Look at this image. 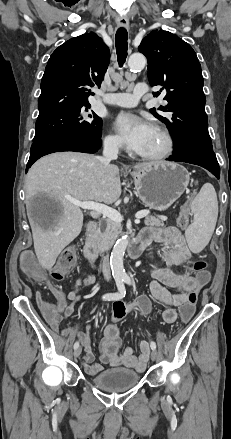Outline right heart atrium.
I'll list each match as a JSON object with an SVG mask.
<instances>
[{
  "label": "right heart atrium",
  "instance_id": "d8ad5b80",
  "mask_svg": "<svg viewBox=\"0 0 231 439\" xmlns=\"http://www.w3.org/2000/svg\"><path fill=\"white\" fill-rule=\"evenodd\" d=\"M105 146L110 150H118L121 148V142L117 136L109 134L104 139Z\"/></svg>",
  "mask_w": 231,
  "mask_h": 439
}]
</instances>
